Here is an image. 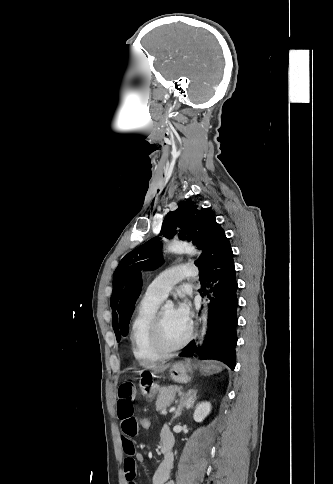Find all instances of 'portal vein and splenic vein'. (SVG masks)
I'll use <instances>...</instances> for the list:
<instances>
[{"label": "portal vein and splenic vein", "instance_id": "obj_1", "mask_svg": "<svg viewBox=\"0 0 333 484\" xmlns=\"http://www.w3.org/2000/svg\"><path fill=\"white\" fill-rule=\"evenodd\" d=\"M163 413H164V414H166L167 412H166V411H164Z\"/></svg>", "mask_w": 333, "mask_h": 484}]
</instances>
